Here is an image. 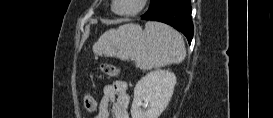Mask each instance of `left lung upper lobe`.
<instances>
[{"mask_svg":"<svg viewBox=\"0 0 273 118\" xmlns=\"http://www.w3.org/2000/svg\"><path fill=\"white\" fill-rule=\"evenodd\" d=\"M162 1H163V0H151V2H150V7H149L148 11H147L145 14L154 11V10L160 5V3H161Z\"/></svg>","mask_w":273,"mask_h":118,"instance_id":"obj_1","label":"left lung upper lobe"}]
</instances>
